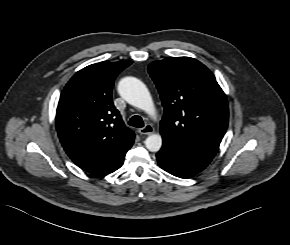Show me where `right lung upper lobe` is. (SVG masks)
<instances>
[{
    "mask_svg": "<svg viewBox=\"0 0 290 245\" xmlns=\"http://www.w3.org/2000/svg\"><path fill=\"white\" fill-rule=\"evenodd\" d=\"M132 61H103L78 71L65 86L56 112L61 144L81 169L107 175L120 168L134 132L112 102L117 75Z\"/></svg>",
    "mask_w": 290,
    "mask_h": 245,
    "instance_id": "1",
    "label": "right lung upper lobe"
}]
</instances>
